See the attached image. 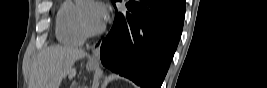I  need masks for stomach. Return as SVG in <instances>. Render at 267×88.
Segmentation results:
<instances>
[{
	"label": "stomach",
	"mask_w": 267,
	"mask_h": 88,
	"mask_svg": "<svg viewBox=\"0 0 267 88\" xmlns=\"http://www.w3.org/2000/svg\"><path fill=\"white\" fill-rule=\"evenodd\" d=\"M95 67H96V64L95 63H88L87 64V69L88 70H93V69H95Z\"/></svg>",
	"instance_id": "0dacf381"
}]
</instances>
